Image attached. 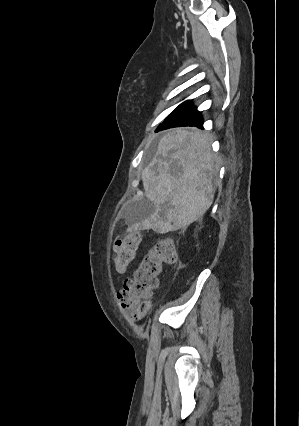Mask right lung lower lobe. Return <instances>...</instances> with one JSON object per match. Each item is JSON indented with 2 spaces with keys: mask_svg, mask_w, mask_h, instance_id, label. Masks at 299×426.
<instances>
[{
  "mask_svg": "<svg viewBox=\"0 0 299 426\" xmlns=\"http://www.w3.org/2000/svg\"><path fill=\"white\" fill-rule=\"evenodd\" d=\"M179 126H196L203 128V118L201 113L190 104V101H185L180 104L161 124L158 130H164Z\"/></svg>",
  "mask_w": 299,
  "mask_h": 426,
  "instance_id": "right-lung-lower-lobe-1",
  "label": "right lung lower lobe"
}]
</instances>
